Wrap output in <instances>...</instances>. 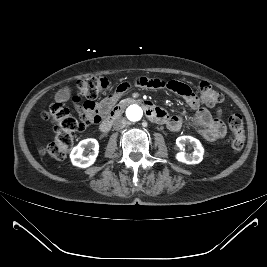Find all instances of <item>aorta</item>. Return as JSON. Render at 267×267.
Returning <instances> with one entry per match:
<instances>
[{
  "instance_id": "1",
  "label": "aorta",
  "mask_w": 267,
  "mask_h": 267,
  "mask_svg": "<svg viewBox=\"0 0 267 267\" xmlns=\"http://www.w3.org/2000/svg\"><path fill=\"white\" fill-rule=\"evenodd\" d=\"M142 115H143V111L141 107H139L138 105H130L126 109V116L128 120L130 121H133V122L139 121L142 118Z\"/></svg>"
}]
</instances>
